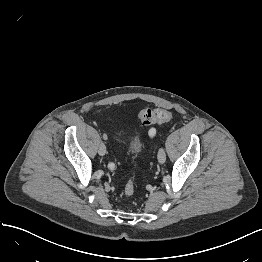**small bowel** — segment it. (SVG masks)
Listing matches in <instances>:
<instances>
[{"mask_svg":"<svg viewBox=\"0 0 262 262\" xmlns=\"http://www.w3.org/2000/svg\"><path fill=\"white\" fill-rule=\"evenodd\" d=\"M155 135V130L154 129H151L150 130V136L153 137ZM111 170H113V168H109Z\"/></svg>","mask_w":262,"mask_h":262,"instance_id":"1","label":"small bowel"}]
</instances>
